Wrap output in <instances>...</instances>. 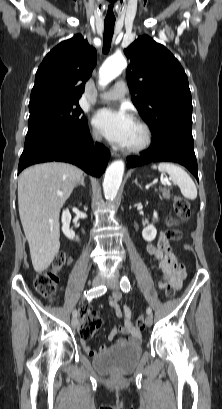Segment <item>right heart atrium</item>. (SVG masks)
<instances>
[{
  "mask_svg": "<svg viewBox=\"0 0 222 409\" xmlns=\"http://www.w3.org/2000/svg\"><path fill=\"white\" fill-rule=\"evenodd\" d=\"M91 136H92V139H93L94 141H96V142H100V141H101V137H100L99 133H98L96 130H92Z\"/></svg>",
  "mask_w": 222,
  "mask_h": 409,
  "instance_id": "right-heart-atrium-1",
  "label": "right heart atrium"
}]
</instances>
